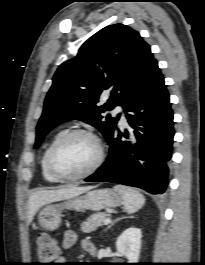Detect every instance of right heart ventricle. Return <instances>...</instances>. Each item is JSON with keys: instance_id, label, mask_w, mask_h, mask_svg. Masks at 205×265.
<instances>
[{"instance_id": "obj_1", "label": "right heart ventricle", "mask_w": 205, "mask_h": 265, "mask_svg": "<svg viewBox=\"0 0 205 265\" xmlns=\"http://www.w3.org/2000/svg\"><path fill=\"white\" fill-rule=\"evenodd\" d=\"M63 133V131H59L57 133H55L52 138L50 139L48 145L46 146L44 152H43V155H42V158H41V171H42V176L43 178L50 182V183H56L58 182V180L56 178H54L47 170V167H46V163H45V159H46V153L50 147V145Z\"/></svg>"}]
</instances>
